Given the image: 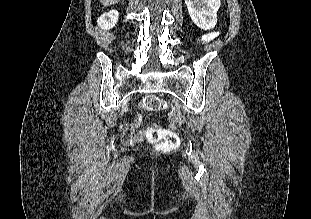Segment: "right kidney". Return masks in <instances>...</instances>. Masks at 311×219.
Masks as SVG:
<instances>
[{
  "mask_svg": "<svg viewBox=\"0 0 311 219\" xmlns=\"http://www.w3.org/2000/svg\"><path fill=\"white\" fill-rule=\"evenodd\" d=\"M118 18H119L118 11L112 10L108 13L101 15L97 20V24L100 28L108 30L116 25Z\"/></svg>",
  "mask_w": 311,
  "mask_h": 219,
  "instance_id": "1",
  "label": "right kidney"
}]
</instances>
